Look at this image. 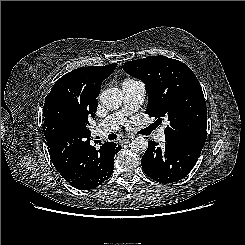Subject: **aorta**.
Returning a JSON list of instances; mask_svg holds the SVG:
<instances>
[{"mask_svg":"<svg viewBox=\"0 0 245 245\" xmlns=\"http://www.w3.org/2000/svg\"><path fill=\"white\" fill-rule=\"evenodd\" d=\"M100 102L107 109H118L122 104L123 94L119 88H107L99 96ZM129 147L136 153H144L148 147V141L143 136H136L131 139Z\"/></svg>","mask_w":245,"mask_h":245,"instance_id":"obj_1","label":"aorta"}]
</instances>
